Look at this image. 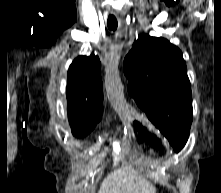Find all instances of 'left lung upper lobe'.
Wrapping results in <instances>:
<instances>
[{
  "mask_svg": "<svg viewBox=\"0 0 221 193\" xmlns=\"http://www.w3.org/2000/svg\"><path fill=\"white\" fill-rule=\"evenodd\" d=\"M128 93L179 152L193 118L192 95L181 51L164 38L140 35L124 59Z\"/></svg>",
  "mask_w": 221,
  "mask_h": 193,
  "instance_id": "obj_1",
  "label": "left lung upper lobe"
}]
</instances>
